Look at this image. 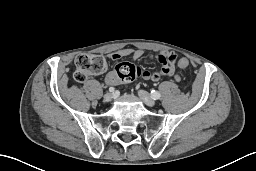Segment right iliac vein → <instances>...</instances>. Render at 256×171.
<instances>
[{"label": "right iliac vein", "instance_id": "63e3f726", "mask_svg": "<svg viewBox=\"0 0 256 171\" xmlns=\"http://www.w3.org/2000/svg\"><path fill=\"white\" fill-rule=\"evenodd\" d=\"M111 99H112V94L109 93V92L106 93V94L103 96V100H104L105 102H110Z\"/></svg>", "mask_w": 256, "mask_h": 171}]
</instances>
